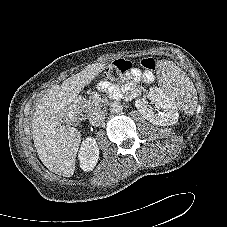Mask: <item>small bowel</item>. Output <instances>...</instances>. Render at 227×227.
Wrapping results in <instances>:
<instances>
[{"label": "small bowel", "mask_w": 227, "mask_h": 227, "mask_svg": "<svg viewBox=\"0 0 227 227\" xmlns=\"http://www.w3.org/2000/svg\"><path fill=\"white\" fill-rule=\"evenodd\" d=\"M132 76L135 80H144L146 82H150L153 79L152 74L141 73V71L138 69L133 70Z\"/></svg>", "instance_id": "c3829d8e"}]
</instances>
